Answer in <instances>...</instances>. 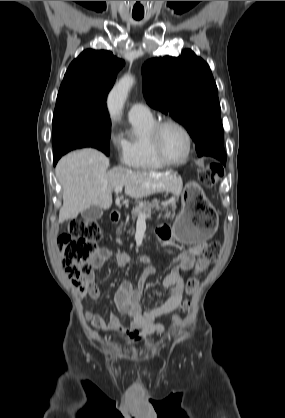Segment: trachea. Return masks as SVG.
Instances as JSON below:
<instances>
[{"label":"trachea","mask_w":285,"mask_h":418,"mask_svg":"<svg viewBox=\"0 0 285 418\" xmlns=\"http://www.w3.org/2000/svg\"><path fill=\"white\" fill-rule=\"evenodd\" d=\"M142 17L141 16H134L135 20H140Z\"/></svg>","instance_id":"1"}]
</instances>
